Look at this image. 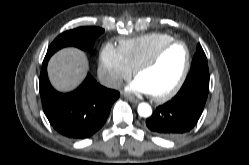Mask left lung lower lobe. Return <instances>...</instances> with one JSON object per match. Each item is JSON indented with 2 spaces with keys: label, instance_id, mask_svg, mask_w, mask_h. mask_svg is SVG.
Segmentation results:
<instances>
[{
  "label": "left lung lower lobe",
  "instance_id": "1",
  "mask_svg": "<svg viewBox=\"0 0 249 165\" xmlns=\"http://www.w3.org/2000/svg\"><path fill=\"white\" fill-rule=\"evenodd\" d=\"M209 92V76L186 78L180 91L167 103L156 108L146 120L147 127L164 138H176L189 132L199 120Z\"/></svg>",
  "mask_w": 249,
  "mask_h": 165
}]
</instances>
